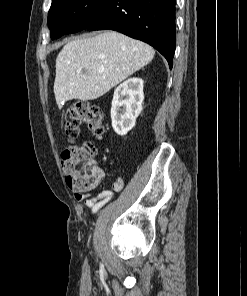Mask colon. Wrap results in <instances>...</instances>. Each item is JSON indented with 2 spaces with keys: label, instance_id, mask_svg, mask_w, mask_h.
<instances>
[{
  "label": "colon",
  "instance_id": "obj_1",
  "mask_svg": "<svg viewBox=\"0 0 247 296\" xmlns=\"http://www.w3.org/2000/svg\"><path fill=\"white\" fill-rule=\"evenodd\" d=\"M66 136L75 140L82 125L96 136L104 132L102 111L88 101L71 104L64 115ZM97 146L93 142L70 145L61 154V162L67 175L66 181L71 188L83 192L95 188L102 180V170L95 164Z\"/></svg>",
  "mask_w": 247,
  "mask_h": 296
}]
</instances>
